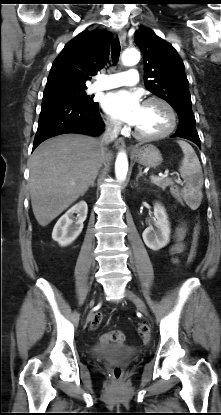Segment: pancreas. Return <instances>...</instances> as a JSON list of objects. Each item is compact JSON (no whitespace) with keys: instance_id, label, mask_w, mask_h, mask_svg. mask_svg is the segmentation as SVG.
<instances>
[{"instance_id":"1","label":"pancreas","mask_w":221,"mask_h":415,"mask_svg":"<svg viewBox=\"0 0 221 415\" xmlns=\"http://www.w3.org/2000/svg\"><path fill=\"white\" fill-rule=\"evenodd\" d=\"M151 183H153L154 185H156V186H158V187L162 188L163 190H164L167 186H169V185H172V184H173L172 180H171V179H169V178H158V179H151ZM171 193H172V195H173L174 197H177V196H178V190H176V189H171Z\"/></svg>"}]
</instances>
